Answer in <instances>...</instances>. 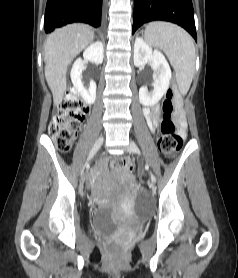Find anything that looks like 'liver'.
<instances>
[{"instance_id":"liver-1","label":"liver","mask_w":238,"mask_h":278,"mask_svg":"<svg viewBox=\"0 0 238 278\" xmlns=\"http://www.w3.org/2000/svg\"><path fill=\"white\" fill-rule=\"evenodd\" d=\"M93 29L84 24H70L51 33L44 47L45 78L55 105L66 90L68 65L94 40Z\"/></svg>"}]
</instances>
